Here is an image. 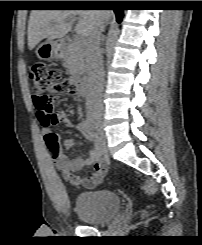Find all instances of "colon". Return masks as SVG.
I'll use <instances>...</instances> for the list:
<instances>
[{"instance_id": "obj_1", "label": "colon", "mask_w": 202, "mask_h": 245, "mask_svg": "<svg viewBox=\"0 0 202 245\" xmlns=\"http://www.w3.org/2000/svg\"><path fill=\"white\" fill-rule=\"evenodd\" d=\"M29 77L33 84V103L40 122L45 125L57 123V118L54 114L53 98L49 93L54 91L56 93H69L73 95L75 93L73 87L63 78L60 70L49 69L41 63H34L30 66ZM48 149L50 156H56L59 152V144L55 141ZM143 214H146V211H143Z\"/></svg>"}]
</instances>
